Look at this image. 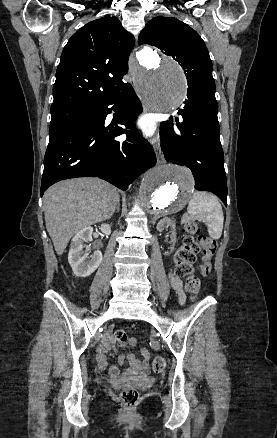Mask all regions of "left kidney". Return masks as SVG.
Listing matches in <instances>:
<instances>
[{
  "instance_id": "1",
  "label": "left kidney",
  "mask_w": 277,
  "mask_h": 438,
  "mask_svg": "<svg viewBox=\"0 0 277 438\" xmlns=\"http://www.w3.org/2000/svg\"><path fill=\"white\" fill-rule=\"evenodd\" d=\"M171 228L172 230V236L174 238L173 242L175 244L176 242V226H175V222H172V220H170V218H162V220H160V222H158L157 224V230L158 232H163V230H166V228Z\"/></svg>"
}]
</instances>
